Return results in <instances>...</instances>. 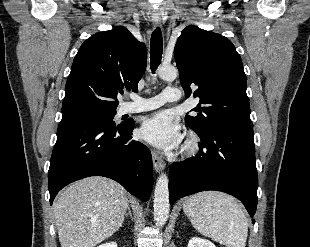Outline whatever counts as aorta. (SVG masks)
<instances>
[{"mask_svg": "<svg viewBox=\"0 0 310 247\" xmlns=\"http://www.w3.org/2000/svg\"><path fill=\"white\" fill-rule=\"evenodd\" d=\"M177 69L173 66H161L158 75L166 81H173L177 77ZM169 180L162 173L156 182L154 191V220L157 226H163L169 217Z\"/></svg>", "mask_w": 310, "mask_h": 247, "instance_id": "762f6f07", "label": "aorta"}]
</instances>
